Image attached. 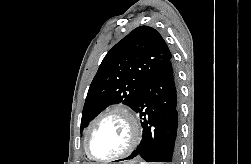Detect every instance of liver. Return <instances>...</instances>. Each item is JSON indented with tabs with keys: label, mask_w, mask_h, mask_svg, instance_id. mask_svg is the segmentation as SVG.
Wrapping results in <instances>:
<instances>
[{
	"label": "liver",
	"mask_w": 251,
	"mask_h": 164,
	"mask_svg": "<svg viewBox=\"0 0 251 164\" xmlns=\"http://www.w3.org/2000/svg\"><path fill=\"white\" fill-rule=\"evenodd\" d=\"M135 161H129V162H125V164H132L134 163Z\"/></svg>",
	"instance_id": "obj_1"
}]
</instances>
